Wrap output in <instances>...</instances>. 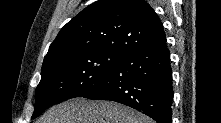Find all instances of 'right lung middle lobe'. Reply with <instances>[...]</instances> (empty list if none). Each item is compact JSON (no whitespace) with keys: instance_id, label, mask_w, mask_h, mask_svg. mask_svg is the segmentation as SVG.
<instances>
[{"instance_id":"1","label":"right lung middle lobe","mask_w":221,"mask_h":123,"mask_svg":"<svg viewBox=\"0 0 221 123\" xmlns=\"http://www.w3.org/2000/svg\"><path fill=\"white\" fill-rule=\"evenodd\" d=\"M126 55L109 49H94L44 63L32 118L53 104L94 91Z\"/></svg>"}]
</instances>
